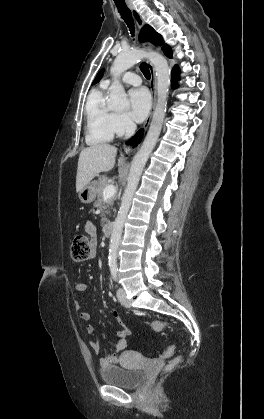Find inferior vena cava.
<instances>
[{"label":"inferior vena cava","mask_w":264,"mask_h":419,"mask_svg":"<svg viewBox=\"0 0 264 419\" xmlns=\"http://www.w3.org/2000/svg\"><path fill=\"white\" fill-rule=\"evenodd\" d=\"M135 130H136V124L131 120L127 121L125 138L127 139L131 137L134 134Z\"/></svg>","instance_id":"602c4592"}]
</instances>
